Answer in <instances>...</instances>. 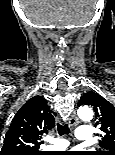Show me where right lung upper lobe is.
Instances as JSON below:
<instances>
[{"label": "right lung upper lobe", "mask_w": 115, "mask_h": 155, "mask_svg": "<svg viewBox=\"0 0 115 155\" xmlns=\"http://www.w3.org/2000/svg\"><path fill=\"white\" fill-rule=\"evenodd\" d=\"M55 126L53 112L41 96L29 99L15 114L0 155H43L41 135Z\"/></svg>", "instance_id": "cb5924a9"}]
</instances>
